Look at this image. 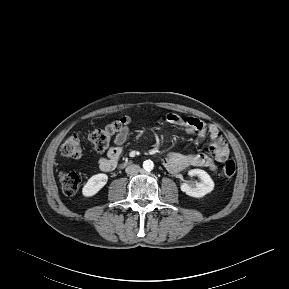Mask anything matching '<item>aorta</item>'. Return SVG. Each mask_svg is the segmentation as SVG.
<instances>
[{
  "instance_id": "1",
  "label": "aorta",
  "mask_w": 289,
  "mask_h": 289,
  "mask_svg": "<svg viewBox=\"0 0 289 289\" xmlns=\"http://www.w3.org/2000/svg\"><path fill=\"white\" fill-rule=\"evenodd\" d=\"M143 168L145 171H151L154 168V163L151 160H146L143 162Z\"/></svg>"
}]
</instances>
